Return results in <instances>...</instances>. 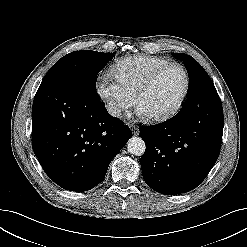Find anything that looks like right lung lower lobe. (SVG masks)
<instances>
[{
	"instance_id": "1",
	"label": "right lung lower lobe",
	"mask_w": 247,
	"mask_h": 247,
	"mask_svg": "<svg viewBox=\"0 0 247 247\" xmlns=\"http://www.w3.org/2000/svg\"><path fill=\"white\" fill-rule=\"evenodd\" d=\"M131 137L129 127L107 113L95 85L73 77L40 85L32 108V147L60 187L94 188Z\"/></svg>"
}]
</instances>
